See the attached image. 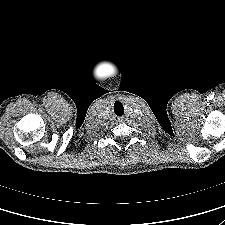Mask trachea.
<instances>
[{
	"label": "trachea",
	"instance_id": "3493384b",
	"mask_svg": "<svg viewBox=\"0 0 225 225\" xmlns=\"http://www.w3.org/2000/svg\"><path fill=\"white\" fill-rule=\"evenodd\" d=\"M114 112L117 116H122L124 114V107L121 102L116 101L114 103Z\"/></svg>",
	"mask_w": 225,
	"mask_h": 225
}]
</instances>
